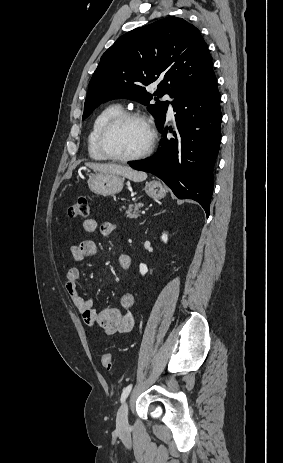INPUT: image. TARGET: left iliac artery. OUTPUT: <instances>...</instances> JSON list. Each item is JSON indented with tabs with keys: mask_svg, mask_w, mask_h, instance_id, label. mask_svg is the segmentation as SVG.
Masks as SVG:
<instances>
[{
	"mask_svg": "<svg viewBox=\"0 0 283 463\" xmlns=\"http://www.w3.org/2000/svg\"><path fill=\"white\" fill-rule=\"evenodd\" d=\"M132 389V384L128 385L123 389L122 395H121V402H124L125 399L128 397L130 391Z\"/></svg>",
	"mask_w": 283,
	"mask_h": 463,
	"instance_id": "1",
	"label": "left iliac artery"
}]
</instances>
